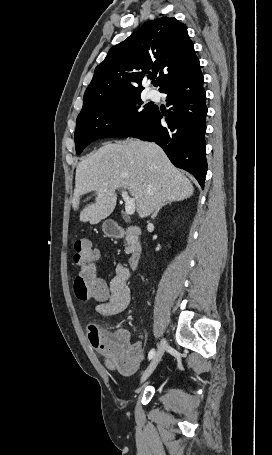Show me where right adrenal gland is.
<instances>
[{
  "label": "right adrenal gland",
  "mask_w": 272,
  "mask_h": 455,
  "mask_svg": "<svg viewBox=\"0 0 272 455\" xmlns=\"http://www.w3.org/2000/svg\"><path fill=\"white\" fill-rule=\"evenodd\" d=\"M171 202H172V201H167V202L162 203V204L156 209V211L153 213V215L151 216V218L154 219V218L157 216L159 210H160L163 206H165V205H167V204H171Z\"/></svg>",
  "instance_id": "right-adrenal-gland-1"
}]
</instances>
